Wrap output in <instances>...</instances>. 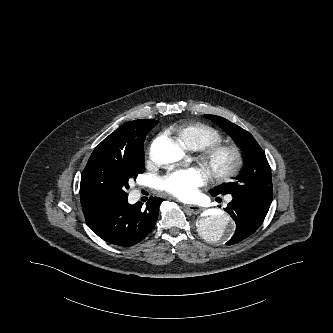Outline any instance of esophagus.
<instances>
[{
	"instance_id": "obj_1",
	"label": "esophagus",
	"mask_w": 333,
	"mask_h": 333,
	"mask_svg": "<svg viewBox=\"0 0 333 333\" xmlns=\"http://www.w3.org/2000/svg\"><path fill=\"white\" fill-rule=\"evenodd\" d=\"M188 211H190L193 214H200L202 212V208L200 206L197 205H188V204H184L183 205Z\"/></svg>"
}]
</instances>
